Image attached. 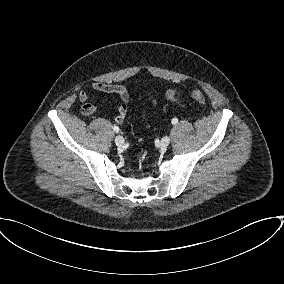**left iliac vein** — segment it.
Instances as JSON below:
<instances>
[{
  "instance_id": "left-iliac-vein-1",
  "label": "left iliac vein",
  "mask_w": 284,
  "mask_h": 284,
  "mask_svg": "<svg viewBox=\"0 0 284 284\" xmlns=\"http://www.w3.org/2000/svg\"><path fill=\"white\" fill-rule=\"evenodd\" d=\"M169 144H170V137L169 136H164L161 139V147L165 149V148L168 147Z\"/></svg>"
}]
</instances>
